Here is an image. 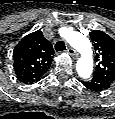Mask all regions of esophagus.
I'll return each instance as SVG.
<instances>
[{"mask_svg":"<svg viewBox=\"0 0 115 119\" xmlns=\"http://www.w3.org/2000/svg\"><path fill=\"white\" fill-rule=\"evenodd\" d=\"M68 53L74 58L76 59L78 57V53L76 52L75 49H73L72 47H69L67 49Z\"/></svg>","mask_w":115,"mask_h":119,"instance_id":"1","label":"esophagus"}]
</instances>
